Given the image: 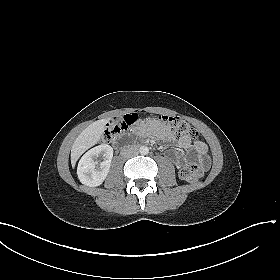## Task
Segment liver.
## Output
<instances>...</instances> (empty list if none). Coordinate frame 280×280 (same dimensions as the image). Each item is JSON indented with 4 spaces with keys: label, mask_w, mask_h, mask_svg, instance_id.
Returning a JSON list of instances; mask_svg holds the SVG:
<instances>
[{
    "label": "liver",
    "mask_w": 280,
    "mask_h": 280,
    "mask_svg": "<svg viewBox=\"0 0 280 280\" xmlns=\"http://www.w3.org/2000/svg\"><path fill=\"white\" fill-rule=\"evenodd\" d=\"M111 118L101 119L93 122L85 128L75 139L71 148V164L75 166L79 157L90 147L95 145L103 135L105 125Z\"/></svg>",
    "instance_id": "liver-1"
}]
</instances>
